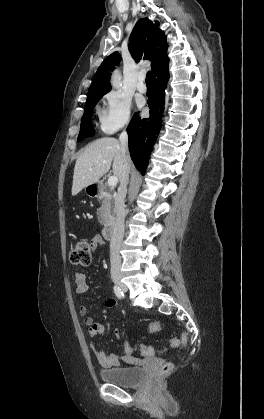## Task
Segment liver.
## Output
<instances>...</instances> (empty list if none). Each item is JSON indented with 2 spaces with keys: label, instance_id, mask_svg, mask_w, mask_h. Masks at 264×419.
Masks as SVG:
<instances>
[{
  "label": "liver",
  "instance_id": "1",
  "mask_svg": "<svg viewBox=\"0 0 264 419\" xmlns=\"http://www.w3.org/2000/svg\"><path fill=\"white\" fill-rule=\"evenodd\" d=\"M112 162L113 174L121 181L123 158L119 141L115 138L104 137L92 142L76 161L72 195L75 196L83 188L98 182L110 170Z\"/></svg>",
  "mask_w": 264,
  "mask_h": 419
}]
</instances>
